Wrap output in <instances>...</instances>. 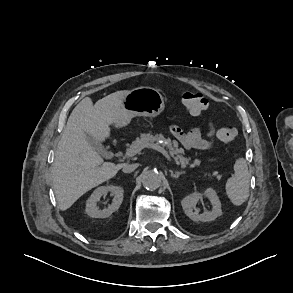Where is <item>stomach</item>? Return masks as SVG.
Here are the masks:
<instances>
[{"label":"stomach","mask_w":293,"mask_h":293,"mask_svg":"<svg viewBox=\"0 0 293 293\" xmlns=\"http://www.w3.org/2000/svg\"><path fill=\"white\" fill-rule=\"evenodd\" d=\"M125 113L115 124V127L128 125L135 116L157 117L165 108L161 93L151 87H139L126 93L122 99Z\"/></svg>","instance_id":"1"}]
</instances>
